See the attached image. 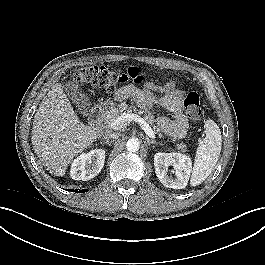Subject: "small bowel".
Instances as JSON below:
<instances>
[{"instance_id":"1","label":"small bowel","mask_w":265,"mask_h":265,"mask_svg":"<svg viewBox=\"0 0 265 265\" xmlns=\"http://www.w3.org/2000/svg\"><path fill=\"white\" fill-rule=\"evenodd\" d=\"M129 71L138 70L132 68ZM138 84L140 83L131 82L126 84L115 93L114 98L118 101L134 98L144 111H148L153 106L166 109L171 113V118L158 117L156 120L157 126L172 139L183 137L188 127L187 119L183 113V92L176 88L172 81L164 85L145 82L143 87H139Z\"/></svg>"}]
</instances>
